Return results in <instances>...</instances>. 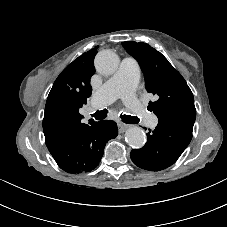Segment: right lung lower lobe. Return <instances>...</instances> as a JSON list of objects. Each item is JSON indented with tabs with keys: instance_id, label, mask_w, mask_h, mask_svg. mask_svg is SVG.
Wrapping results in <instances>:
<instances>
[{
	"instance_id": "1",
	"label": "right lung lower lobe",
	"mask_w": 227,
	"mask_h": 227,
	"mask_svg": "<svg viewBox=\"0 0 227 227\" xmlns=\"http://www.w3.org/2000/svg\"><path fill=\"white\" fill-rule=\"evenodd\" d=\"M117 135L118 128L114 121L96 122L56 146L50 153L67 173L90 172L99 165L106 142Z\"/></svg>"
}]
</instances>
